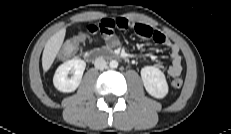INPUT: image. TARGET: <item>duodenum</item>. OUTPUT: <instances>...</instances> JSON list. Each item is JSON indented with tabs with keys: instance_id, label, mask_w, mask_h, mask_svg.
<instances>
[{
	"instance_id": "obj_1",
	"label": "duodenum",
	"mask_w": 231,
	"mask_h": 134,
	"mask_svg": "<svg viewBox=\"0 0 231 134\" xmlns=\"http://www.w3.org/2000/svg\"><path fill=\"white\" fill-rule=\"evenodd\" d=\"M101 58L121 59L123 56L122 54L110 49H95L88 52L86 55V59L92 62Z\"/></svg>"
}]
</instances>
